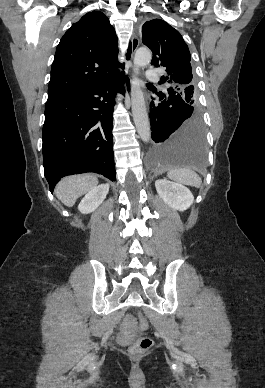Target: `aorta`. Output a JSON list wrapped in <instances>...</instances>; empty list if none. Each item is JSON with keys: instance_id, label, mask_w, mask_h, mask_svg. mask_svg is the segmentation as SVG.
<instances>
[{"instance_id": "aorta-1", "label": "aorta", "mask_w": 265, "mask_h": 388, "mask_svg": "<svg viewBox=\"0 0 265 388\" xmlns=\"http://www.w3.org/2000/svg\"><path fill=\"white\" fill-rule=\"evenodd\" d=\"M151 59L152 55L148 49L140 48L136 51L133 61L134 74L131 80V107L133 119L137 133L144 142L149 141L151 131L144 95L137 75L139 68L148 65L151 62Z\"/></svg>"}]
</instances>
